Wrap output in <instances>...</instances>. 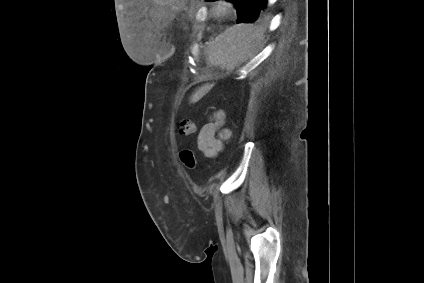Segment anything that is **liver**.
Masks as SVG:
<instances>
[{
	"instance_id": "1",
	"label": "liver",
	"mask_w": 424,
	"mask_h": 283,
	"mask_svg": "<svg viewBox=\"0 0 424 283\" xmlns=\"http://www.w3.org/2000/svg\"><path fill=\"white\" fill-rule=\"evenodd\" d=\"M251 28H242V27H238V28H230L228 30L225 31V33L223 34V36H221L222 41H224L225 43L232 45L236 42H239L243 36H244V32L246 30H250Z\"/></svg>"
}]
</instances>
